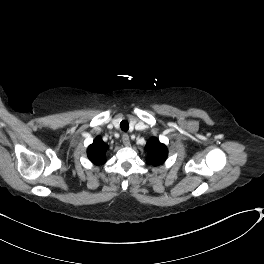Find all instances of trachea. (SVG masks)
<instances>
[{"label":"trachea","mask_w":264,"mask_h":264,"mask_svg":"<svg viewBox=\"0 0 264 264\" xmlns=\"http://www.w3.org/2000/svg\"><path fill=\"white\" fill-rule=\"evenodd\" d=\"M120 128L122 131L127 132L129 129V123L125 120L121 121Z\"/></svg>","instance_id":"1"}]
</instances>
